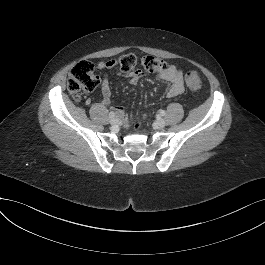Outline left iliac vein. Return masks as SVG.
Wrapping results in <instances>:
<instances>
[{
	"instance_id": "4c4485c4",
	"label": "left iliac vein",
	"mask_w": 265,
	"mask_h": 265,
	"mask_svg": "<svg viewBox=\"0 0 265 265\" xmlns=\"http://www.w3.org/2000/svg\"><path fill=\"white\" fill-rule=\"evenodd\" d=\"M156 125H157V127H159V128L164 127V126H165V121H164V119H162V118H158V119L156 120Z\"/></svg>"
}]
</instances>
